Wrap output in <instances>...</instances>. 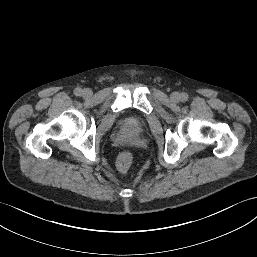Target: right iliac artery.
Returning <instances> with one entry per match:
<instances>
[{
    "mask_svg": "<svg viewBox=\"0 0 257 257\" xmlns=\"http://www.w3.org/2000/svg\"><path fill=\"white\" fill-rule=\"evenodd\" d=\"M74 94H75L76 96H80V95L82 94V89H81V88H76V89L74 90Z\"/></svg>",
    "mask_w": 257,
    "mask_h": 257,
    "instance_id": "1",
    "label": "right iliac artery"
}]
</instances>
